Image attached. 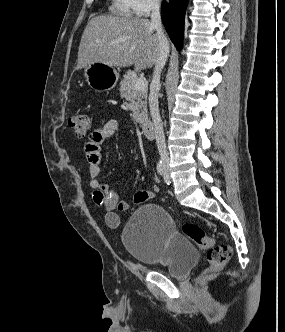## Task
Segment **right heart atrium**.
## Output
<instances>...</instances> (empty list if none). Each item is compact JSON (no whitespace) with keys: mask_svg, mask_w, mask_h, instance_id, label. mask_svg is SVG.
Returning <instances> with one entry per match:
<instances>
[{"mask_svg":"<svg viewBox=\"0 0 285 332\" xmlns=\"http://www.w3.org/2000/svg\"><path fill=\"white\" fill-rule=\"evenodd\" d=\"M132 10L139 16H146L160 6L161 0H130Z\"/></svg>","mask_w":285,"mask_h":332,"instance_id":"d8ad5b80","label":"right heart atrium"}]
</instances>
